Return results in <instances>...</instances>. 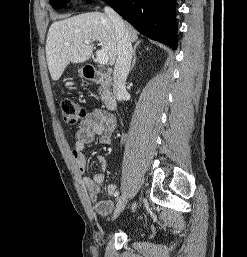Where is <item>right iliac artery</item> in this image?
I'll return each instance as SVG.
<instances>
[{"label":"right iliac artery","mask_w":247,"mask_h":257,"mask_svg":"<svg viewBox=\"0 0 247 257\" xmlns=\"http://www.w3.org/2000/svg\"><path fill=\"white\" fill-rule=\"evenodd\" d=\"M118 195H119V193L117 192L115 196H118Z\"/></svg>","instance_id":"right-iliac-artery-1"}]
</instances>
